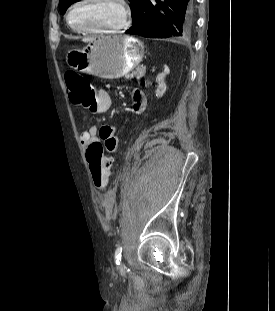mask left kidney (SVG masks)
<instances>
[{
	"instance_id": "left-kidney-1",
	"label": "left kidney",
	"mask_w": 275,
	"mask_h": 311,
	"mask_svg": "<svg viewBox=\"0 0 275 311\" xmlns=\"http://www.w3.org/2000/svg\"><path fill=\"white\" fill-rule=\"evenodd\" d=\"M169 73V69L165 67L164 72L158 74L156 78V82H158L157 90H156V97L160 98L166 92L167 86L165 84V76Z\"/></svg>"
}]
</instances>
